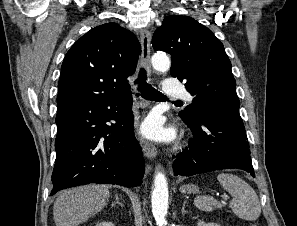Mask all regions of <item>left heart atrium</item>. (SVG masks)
Listing matches in <instances>:
<instances>
[{
	"instance_id": "39dd6f15",
	"label": "left heart atrium",
	"mask_w": 297,
	"mask_h": 226,
	"mask_svg": "<svg viewBox=\"0 0 297 226\" xmlns=\"http://www.w3.org/2000/svg\"><path fill=\"white\" fill-rule=\"evenodd\" d=\"M143 133L154 139H168L171 133L164 130L159 119L157 117H150L146 120L142 127Z\"/></svg>"
}]
</instances>
